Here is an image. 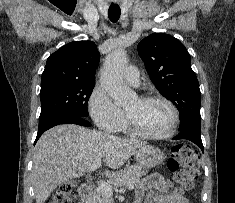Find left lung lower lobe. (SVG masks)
<instances>
[{
	"mask_svg": "<svg viewBox=\"0 0 235 203\" xmlns=\"http://www.w3.org/2000/svg\"><path fill=\"white\" fill-rule=\"evenodd\" d=\"M174 140L187 139L195 143L204 152L202 140H201V130L195 128H186L180 130V133L173 138Z\"/></svg>",
	"mask_w": 235,
	"mask_h": 203,
	"instance_id": "left-lung-lower-lobe-1",
	"label": "left lung lower lobe"
}]
</instances>
